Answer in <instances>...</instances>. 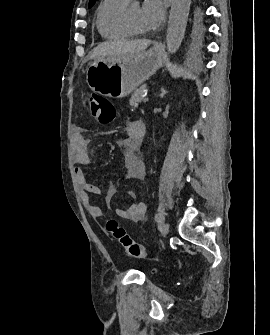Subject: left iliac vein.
I'll return each instance as SVG.
<instances>
[{"instance_id":"1","label":"left iliac vein","mask_w":270,"mask_h":335,"mask_svg":"<svg viewBox=\"0 0 270 335\" xmlns=\"http://www.w3.org/2000/svg\"><path fill=\"white\" fill-rule=\"evenodd\" d=\"M169 232V223L166 222L163 224L162 228H161V236L165 237Z\"/></svg>"}]
</instances>
